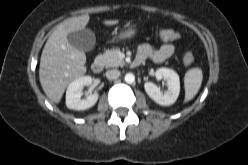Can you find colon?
<instances>
[{"label":"colon","instance_id":"colon-1","mask_svg":"<svg viewBox=\"0 0 248 165\" xmlns=\"http://www.w3.org/2000/svg\"><path fill=\"white\" fill-rule=\"evenodd\" d=\"M158 36H159V38L161 40H164V41H172V40H176V39L179 38L178 32H176L174 30H171V29H161V30H159ZM194 61H195V57H194L192 52L187 51V52L184 53V55H183V63L186 66L192 65L194 63Z\"/></svg>","mask_w":248,"mask_h":165}]
</instances>
